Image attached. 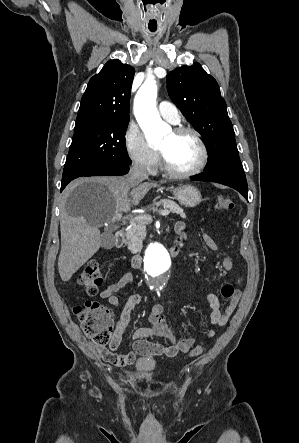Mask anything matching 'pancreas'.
Instances as JSON below:
<instances>
[{"label": "pancreas", "instance_id": "obj_1", "mask_svg": "<svg viewBox=\"0 0 299 443\" xmlns=\"http://www.w3.org/2000/svg\"><path fill=\"white\" fill-rule=\"evenodd\" d=\"M164 206L169 212L179 214L185 218L186 215L183 209L174 201L169 199H163L155 203V206ZM144 216V215H141ZM150 223V220H135L125 233V244L132 253H139L142 249V242L146 236V225Z\"/></svg>", "mask_w": 299, "mask_h": 443}]
</instances>
